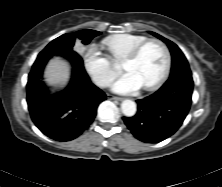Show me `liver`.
<instances>
[{"mask_svg": "<svg viewBox=\"0 0 222 187\" xmlns=\"http://www.w3.org/2000/svg\"><path fill=\"white\" fill-rule=\"evenodd\" d=\"M46 82L55 87L63 88L69 80V66L58 57L50 60L45 69Z\"/></svg>", "mask_w": 222, "mask_h": 187, "instance_id": "liver-1", "label": "liver"}]
</instances>
